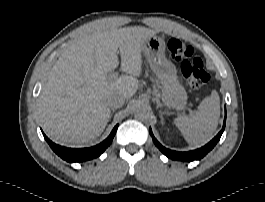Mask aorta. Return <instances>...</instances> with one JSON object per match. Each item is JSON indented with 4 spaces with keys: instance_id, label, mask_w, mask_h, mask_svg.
I'll return each instance as SVG.
<instances>
[{
    "instance_id": "aorta-1",
    "label": "aorta",
    "mask_w": 265,
    "mask_h": 202,
    "mask_svg": "<svg viewBox=\"0 0 265 202\" xmlns=\"http://www.w3.org/2000/svg\"><path fill=\"white\" fill-rule=\"evenodd\" d=\"M134 115L140 120H147L149 118V109L144 104H138L135 107Z\"/></svg>"
}]
</instances>
